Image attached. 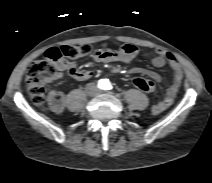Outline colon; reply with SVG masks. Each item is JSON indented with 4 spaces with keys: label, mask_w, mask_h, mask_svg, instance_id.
Wrapping results in <instances>:
<instances>
[{
    "label": "colon",
    "mask_w": 212,
    "mask_h": 183,
    "mask_svg": "<svg viewBox=\"0 0 212 183\" xmlns=\"http://www.w3.org/2000/svg\"><path fill=\"white\" fill-rule=\"evenodd\" d=\"M91 52L92 47L89 44L64 45L49 49L44 60L32 63L26 74L27 90L32 101L36 105H43L46 86L54 80L57 67L61 62L85 57ZM133 85L145 93L154 91V84L145 78L134 79Z\"/></svg>",
    "instance_id": "colon-1"
}]
</instances>
